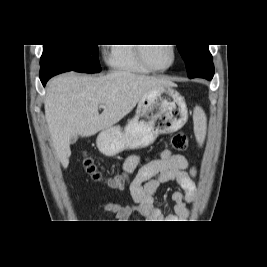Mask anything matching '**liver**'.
I'll use <instances>...</instances> for the list:
<instances>
[{
    "label": "liver",
    "mask_w": 267,
    "mask_h": 267,
    "mask_svg": "<svg viewBox=\"0 0 267 267\" xmlns=\"http://www.w3.org/2000/svg\"><path fill=\"white\" fill-rule=\"evenodd\" d=\"M175 86L162 77L115 71L100 77L66 73L53 78L44 101L45 118L62 166L71 155L70 140L112 127L130 113L150 90ZM103 104L101 114L98 105Z\"/></svg>",
    "instance_id": "6515ba94"
}]
</instances>
